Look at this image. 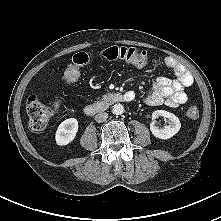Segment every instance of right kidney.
<instances>
[{
	"label": "right kidney",
	"mask_w": 221,
	"mask_h": 221,
	"mask_svg": "<svg viewBox=\"0 0 221 221\" xmlns=\"http://www.w3.org/2000/svg\"><path fill=\"white\" fill-rule=\"evenodd\" d=\"M78 127V121L75 118L64 120L56 131V143L60 146H64L72 142L77 134Z\"/></svg>",
	"instance_id": "ca27d5eb"
}]
</instances>
